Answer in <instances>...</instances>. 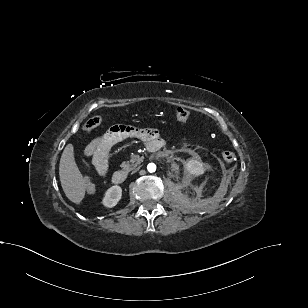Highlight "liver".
Returning <instances> with one entry per match:
<instances>
[{"instance_id":"1","label":"liver","mask_w":308,"mask_h":308,"mask_svg":"<svg viewBox=\"0 0 308 308\" xmlns=\"http://www.w3.org/2000/svg\"><path fill=\"white\" fill-rule=\"evenodd\" d=\"M61 186L67 198L79 204L85 196L87 181L82 176L74 158V147L66 145L59 164Z\"/></svg>"}]
</instances>
